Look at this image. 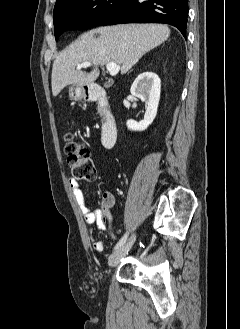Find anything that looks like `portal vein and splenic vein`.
<instances>
[{
  "label": "portal vein and splenic vein",
  "mask_w": 240,
  "mask_h": 329,
  "mask_svg": "<svg viewBox=\"0 0 240 329\" xmlns=\"http://www.w3.org/2000/svg\"><path fill=\"white\" fill-rule=\"evenodd\" d=\"M91 65H92V63H90V62H83V63L79 64L76 69L80 70L81 68H87V67H90ZM106 68L109 71L111 76L117 75L120 70V66L113 62L108 63L106 65Z\"/></svg>",
  "instance_id": "18ae733b"
}]
</instances>
